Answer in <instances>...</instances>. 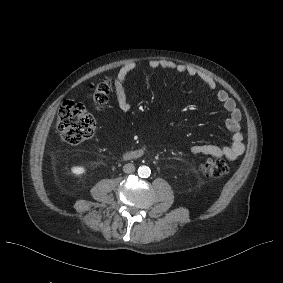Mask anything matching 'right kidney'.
Returning a JSON list of instances; mask_svg holds the SVG:
<instances>
[{
    "mask_svg": "<svg viewBox=\"0 0 283 283\" xmlns=\"http://www.w3.org/2000/svg\"><path fill=\"white\" fill-rule=\"evenodd\" d=\"M71 172L75 175H81L85 172V168L82 166H74L71 168Z\"/></svg>",
    "mask_w": 283,
    "mask_h": 283,
    "instance_id": "right-kidney-1",
    "label": "right kidney"
}]
</instances>
